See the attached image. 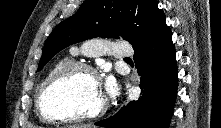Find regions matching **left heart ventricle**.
I'll use <instances>...</instances> for the list:
<instances>
[{"label": "left heart ventricle", "mask_w": 221, "mask_h": 128, "mask_svg": "<svg viewBox=\"0 0 221 128\" xmlns=\"http://www.w3.org/2000/svg\"><path fill=\"white\" fill-rule=\"evenodd\" d=\"M104 99L100 83L80 71L54 85L47 93L45 109L54 114H78L97 109Z\"/></svg>", "instance_id": "left-heart-ventricle-1"}]
</instances>
